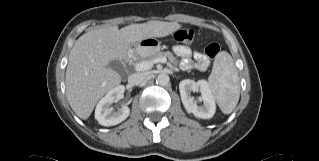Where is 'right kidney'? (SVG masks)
I'll return each mask as SVG.
<instances>
[{
  "label": "right kidney",
  "mask_w": 319,
  "mask_h": 161,
  "mask_svg": "<svg viewBox=\"0 0 319 161\" xmlns=\"http://www.w3.org/2000/svg\"><path fill=\"white\" fill-rule=\"evenodd\" d=\"M125 87L118 85L111 89L97 104L95 119L103 126H114L124 121L130 115L129 107L123 105L116 112L112 111L110 105L123 98Z\"/></svg>",
  "instance_id": "obj_1"
}]
</instances>
